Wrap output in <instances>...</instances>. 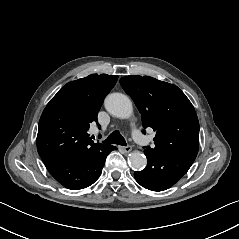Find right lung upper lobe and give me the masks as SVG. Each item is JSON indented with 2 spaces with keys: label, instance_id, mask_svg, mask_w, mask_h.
Returning a JSON list of instances; mask_svg holds the SVG:
<instances>
[{
  "label": "right lung upper lobe",
  "instance_id": "cb5924a9",
  "mask_svg": "<svg viewBox=\"0 0 239 239\" xmlns=\"http://www.w3.org/2000/svg\"><path fill=\"white\" fill-rule=\"evenodd\" d=\"M116 75L92 74L64 85L44 109L38 128L37 150L42 160L86 154L105 144L87 133Z\"/></svg>",
  "mask_w": 239,
  "mask_h": 239
}]
</instances>
